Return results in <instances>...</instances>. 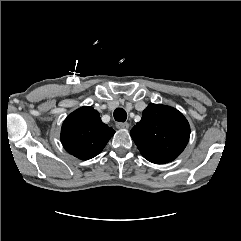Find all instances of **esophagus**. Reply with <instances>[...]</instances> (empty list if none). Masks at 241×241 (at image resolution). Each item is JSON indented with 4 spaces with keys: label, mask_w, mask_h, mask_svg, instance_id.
I'll use <instances>...</instances> for the list:
<instances>
[{
    "label": "esophagus",
    "mask_w": 241,
    "mask_h": 241,
    "mask_svg": "<svg viewBox=\"0 0 241 241\" xmlns=\"http://www.w3.org/2000/svg\"><path fill=\"white\" fill-rule=\"evenodd\" d=\"M116 127L118 129H128L129 128V124L127 122L123 123V122H117L116 123Z\"/></svg>",
    "instance_id": "esophagus-1"
}]
</instances>
